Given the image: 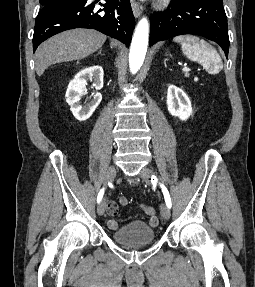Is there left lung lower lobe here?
I'll use <instances>...</instances> for the list:
<instances>
[{
  "label": "left lung lower lobe",
  "instance_id": "left-lung-lower-lobe-1",
  "mask_svg": "<svg viewBox=\"0 0 255 287\" xmlns=\"http://www.w3.org/2000/svg\"><path fill=\"white\" fill-rule=\"evenodd\" d=\"M227 17L222 0H171L168 10L151 17L150 42L183 34L206 37L229 51Z\"/></svg>",
  "mask_w": 255,
  "mask_h": 287
}]
</instances>
